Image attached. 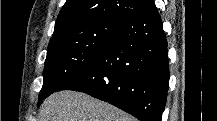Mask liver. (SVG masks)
<instances>
[{"label":"liver","mask_w":217,"mask_h":121,"mask_svg":"<svg viewBox=\"0 0 217 121\" xmlns=\"http://www.w3.org/2000/svg\"><path fill=\"white\" fill-rule=\"evenodd\" d=\"M38 121H135V118L84 93L60 91L44 101Z\"/></svg>","instance_id":"obj_1"}]
</instances>
